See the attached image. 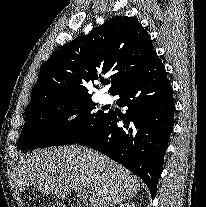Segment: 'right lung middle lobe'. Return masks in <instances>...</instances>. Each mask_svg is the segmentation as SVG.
<instances>
[{
  "label": "right lung middle lobe",
  "instance_id": "1",
  "mask_svg": "<svg viewBox=\"0 0 206 207\" xmlns=\"http://www.w3.org/2000/svg\"><path fill=\"white\" fill-rule=\"evenodd\" d=\"M91 97L50 102L25 112V124L18 141L19 150L74 144L92 133L108 116L97 112ZM72 120L67 119L74 115Z\"/></svg>",
  "mask_w": 206,
  "mask_h": 207
}]
</instances>
